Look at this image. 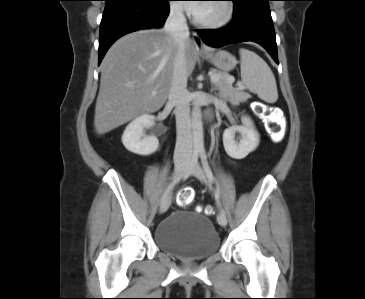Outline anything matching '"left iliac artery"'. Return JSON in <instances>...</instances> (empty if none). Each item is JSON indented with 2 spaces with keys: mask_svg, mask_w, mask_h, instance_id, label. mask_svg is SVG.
<instances>
[{
  "mask_svg": "<svg viewBox=\"0 0 365 299\" xmlns=\"http://www.w3.org/2000/svg\"><path fill=\"white\" fill-rule=\"evenodd\" d=\"M200 157H201V162L204 168L205 173L207 174L209 180L211 181H215V177L210 169V166L208 164V161L206 159V154H205V150L201 149L200 150ZM215 199L217 202L218 207L220 208V213L225 215V210L221 207L220 204V192H219V187L217 186L216 191H215Z\"/></svg>",
  "mask_w": 365,
  "mask_h": 299,
  "instance_id": "obj_1",
  "label": "left iliac artery"
}]
</instances>
